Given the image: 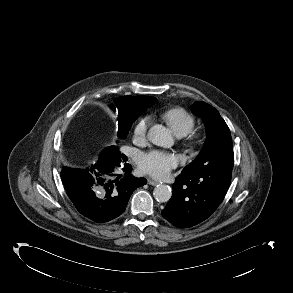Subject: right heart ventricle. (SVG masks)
Wrapping results in <instances>:
<instances>
[{
    "label": "right heart ventricle",
    "instance_id": "right-heart-ventricle-1",
    "mask_svg": "<svg viewBox=\"0 0 293 293\" xmlns=\"http://www.w3.org/2000/svg\"><path fill=\"white\" fill-rule=\"evenodd\" d=\"M162 118L171 131L179 137L189 134L195 126L194 117L180 107H174L164 111Z\"/></svg>",
    "mask_w": 293,
    "mask_h": 293
}]
</instances>
